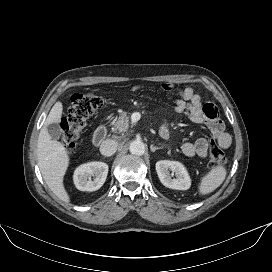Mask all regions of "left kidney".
I'll list each match as a JSON object with an SVG mask.
<instances>
[{
    "label": "left kidney",
    "mask_w": 272,
    "mask_h": 272,
    "mask_svg": "<svg viewBox=\"0 0 272 272\" xmlns=\"http://www.w3.org/2000/svg\"><path fill=\"white\" fill-rule=\"evenodd\" d=\"M156 172L165 187L176 190H187L191 186V179L186 168L178 161H158L156 163ZM174 175L176 178H172Z\"/></svg>",
    "instance_id": "5707ae66"
}]
</instances>
